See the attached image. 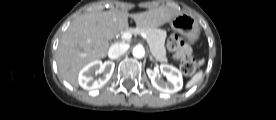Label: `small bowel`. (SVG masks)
<instances>
[{
    "label": "small bowel",
    "instance_id": "c3829d8e",
    "mask_svg": "<svg viewBox=\"0 0 276 120\" xmlns=\"http://www.w3.org/2000/svg\"><path fill=\"white\" fill-rule=\"evenodd\" d=\"M185 52L190 53V48L188 46L185 47Z\"/></svg>",
    "mask_w": 276,
    "mask_h": 120
}]
</instances>
